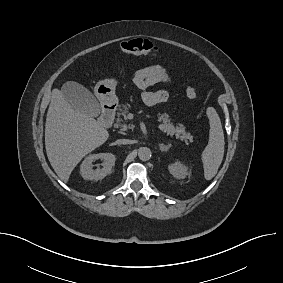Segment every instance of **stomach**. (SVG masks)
Instances as JSON below:
<instances>
[{
    "mask_svg": "<svg viewBox=\"0 0 283 283\" xmlns=\"http://www.w3.org/2000/svg\"><path fill=\"white\" fill-rule=\"evenodd\" d=\"M116 85L117 81L113 78L101 80L96 84L94 92L102 105H115L117 103Z\"/></svg>",
    "mask_w": 283,
    "mask_h": 283,
    "instance_id": "0dacf381",
    "label": "stomach"
}]
</instances>
